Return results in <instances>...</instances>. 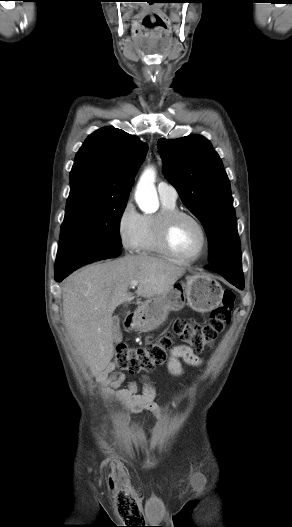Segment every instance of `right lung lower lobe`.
<instances>
[{"mask_svg": "<svg viewBox=\"0 0 292 527\" xmlns=\"http://www.w3.org/2000/svg\"><path fill=\"white\" fill-rule=\"evenodd\" d=\"M118 248L102 243H67L59 245L55 263V280L61 282L74 270L91 262L115 258Z\"/></svg>", "mask_w": 292, "mask_h": 527, "instance_id": "right-lung-lower-lobe-1", "label": "right lung lower lobe"}]
</instances>
